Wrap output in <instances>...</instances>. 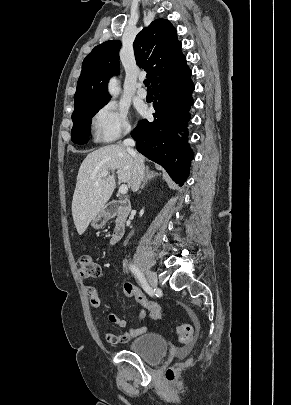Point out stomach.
<instances>
[{
	"label": "stomach",
	"instance_id": "1",
	"mask_svg": "<svg viewBox=\"0 0 291 405\" xmlns=\"http://www.w3.org/2000/svg\"><path fill=\"white\" fill-rule=\"evenodd\" d=\"M110 219V214L102 209L92 220L91 226L94 229H101Z\"/></svg>",
	"mask_w": 291,
	"mask_h": 405
}]
</instances>
